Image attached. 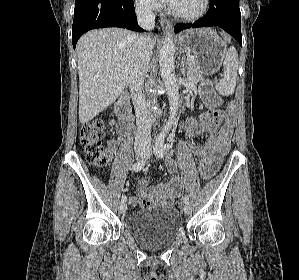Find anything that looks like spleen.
<instances>
[{
	"mask_svg": "<svg viewBox=\"0 0 299 280\" xmlns=\"http://www.w3.org/2000/svg\"><path fill=\"white\" fill-rule=\"evenodd\" d=\"M223 67V78L215 87L219 94L229 96L234 93L238 70V54L235 47L231 46L226 52Z\"/></svg>",
	"mask_w": 299,
	"mask_h": 280,
	"instance_id": "spleen-1",
	"label": "spleen"
}]
</instances>
